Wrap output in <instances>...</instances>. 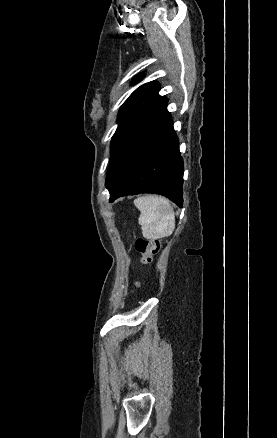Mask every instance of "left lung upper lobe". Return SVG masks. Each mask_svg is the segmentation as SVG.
<instances>
[{"mask_svg": "<svg viewBox=\"0 0 277 438\" xmlns=\"http://www.w3.org/2000/svg\"><path fill=\"white\" fill-rule=\"evenodd\" d=\"M142 76V75H140ZM140 78H136L138 81ZM160 86L152 81L136 89L121 106L118 114V127L111 141V157L107 171L106 187L109 189L118 177L131 144L134 124L144 102L150 97L165 98L157 95Z\"/></svg>", "mask_w": 277, "mask_h": 438, "instance_id": "5c2ea615", "label": "left lung upper lobe"}]
</instances>
